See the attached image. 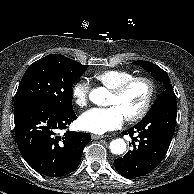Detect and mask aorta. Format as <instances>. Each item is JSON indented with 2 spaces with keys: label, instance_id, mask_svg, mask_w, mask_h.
<instances>
[{
  "label": "aorta",
  "instance_id": "obj_1",
  "mask_svg": "<svg viewBox=\"0 0 194 194\" xmlns=\"http://www.w3.org/2000/svg\"><path fill=\"white\" fill-rule=\"evenodd\" d=\"M107 89L104 87L93 89L89 95V99L96 105H102L107 95ZM109 148L113 154L120 155L126 150V142L123 139H115L110 142Z\"/></svg>",
  "mask_w": 194,
  "mask_h": 194
}]
</instances>
